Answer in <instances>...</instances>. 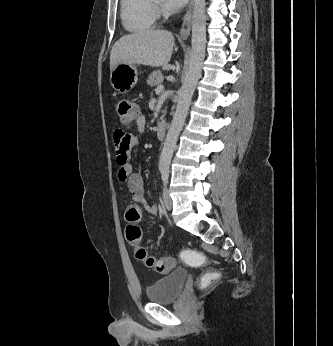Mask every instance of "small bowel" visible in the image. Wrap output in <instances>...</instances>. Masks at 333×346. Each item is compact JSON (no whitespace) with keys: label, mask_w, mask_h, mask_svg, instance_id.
<instances>
[{"label":"small bowel","mask_w":333,"mask_h":346,"mask_svg":"<svg viewBox=\"0 0 333 346\" xmlns=\"http://www.w3.org/2000/svg\"><path fill=\"white\" fill-rule=\"evenodd\" d=\"M136 134H126L121 129L114 131L113 140L116 148V161L119 166V179L124 183L126 189L131 193L134 203L143 204L149 214H157L158 207L155 204L148 203L145 199V189L143 179L129 162V155L132 150L138 149L140 145V136L145 129L146 118L141 113L137 121Z\"/></svg>","instance_id":"small-bowel-1"}]
</instances>
